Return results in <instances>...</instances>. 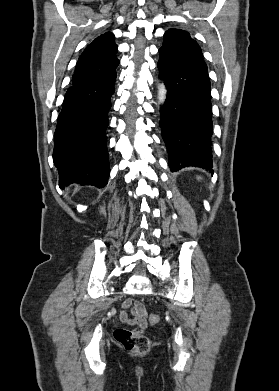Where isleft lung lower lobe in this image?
Segmentation results:
<instances>
[{
  "label": "left lung lower lobe",
  "mask_w": 279,
  "mask_h": 391,
  "mask_svg": "<svg viewBox=\"0 0 279 391\" xmlns=\"http://www.w3.org/2000/svg\"><path fill=\"white\" fill-rule=\"evenodd\" d=\"M160 78L167 88L160 127L171 171L188 166L212 168V106L208 72L159 49Z\"/></svg>",
  "instance_id": "0a47b994"
}]
</instances>
